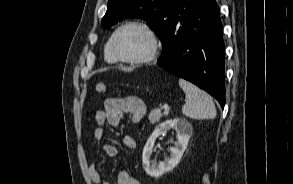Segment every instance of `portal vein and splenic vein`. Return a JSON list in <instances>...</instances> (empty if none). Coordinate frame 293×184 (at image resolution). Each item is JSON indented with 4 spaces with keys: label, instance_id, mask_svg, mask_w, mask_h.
I'll return each mask as SVG.
<instances>
[{
    "label": "portal vein and splenic vein",
    "instance_id": "1",
    "mask_svg": "<svg viewBox=\"0 0 293 184\" xmlns=\"http://www.w3.org/2000/svg\"><path fill=\"white\" fill-rule=\"evenodd\" d=\"M168 105L167 104H164L163 106H162V109H164V110H168Z\"/></svg>",
    "mask_w": 293,
    "mask_h": 184
}]
</instances>
